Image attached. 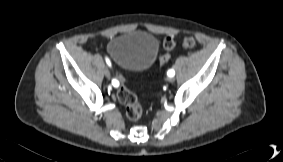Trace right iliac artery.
<instances>
[{"label":"right iliac artery","instance_id":"82829eb1","mask_svg":"<svg viewBox=\"0 0 283 162\" xmlns=\"http://www.w3.org/2000/svg\"><path fill=\"white\" fill-rule=\"evenodd\" d=\"M106 62H107V64H108L109 66H111V63H110V61H109L108 58H106ZM112 84H113L114 86H117V85H118V82H117L116 80H113V81H112Z\"/></svg>","mask_w":283,"mask_h":162}]
</instances>
